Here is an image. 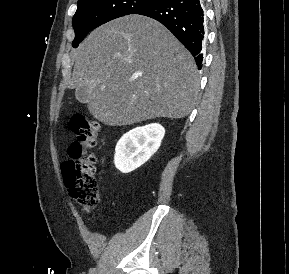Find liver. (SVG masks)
Instances as JSON below:
<instances>
[{
  "label": "liver",
  "instance_id": "1",
  "mask_svg": "<svg viewBox=\"0 0 289 274\" xmlns=\"http://www.w3.org/2000/svg\"><path fill=\"white\" fill-rule=\"evenodd\" d=\"M68 88L87 90L92 116L108 126L188 116L199 77L191 53L159 22L141 15L110 21L73 52Z\"/></svg>",
  "mask_w": 289,
  "mask_h": 274
}]
</instances>
